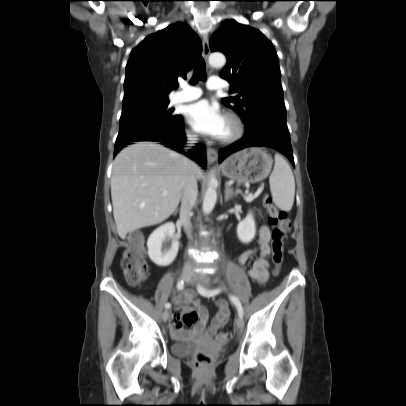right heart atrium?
<instances>
[{"label":"right heart atrium","mask_w":406,"mask_h":406,"mask_svg":"<svg viewBox=\"0 0 406 406\" xmlns=\"http://www.w3.org/2000/svg\"><path fill=\"white\" fill-rule=\"evenodd\" d=\"M186 136H187L189 139H192V140H194V139L197 138V135L194 133V131H192V130H190V129L186 130Z\"/></svg>","instance_id":"obj_1"}]
</instances>
